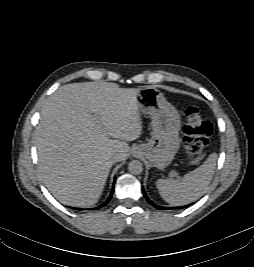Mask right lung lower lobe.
I'll list each match as a JSON object with an SVG mask.
<instances>
[{
  "instance_id": "98d812e1",
  "label": "right lung lower lobe",
  "mask_w": 254,
  "mask_h": 267,
  "mask_svg": "<svg viewBox=\"0 0 254 267\" xmlns=\"http://www.w3.org/2000/svg\"><path fill=\"white\" fill-rule=\"evenodd\" d=\"M115 180H116V178H115ZM113 192H114V189H112V191H111V193H110V195H109L108 199L105 201V203H104V204H102V205H100L99 207H97V208H95V209H99V208H101L102 206H104L105 204H107V203L110 201V199H111V197H112V194H113ZM75 209H77V210H83V209H79V208H75Z\"/></svg>"
}]
</instances>
